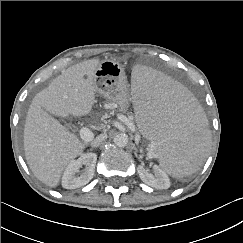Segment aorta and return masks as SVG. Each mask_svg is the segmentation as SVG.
Segmentation results:
<instances>
[{
	"mask_svg": "<svg viewBox=\"0 0 243 243\" xmlns=\"http://www.w3.org/2000/svg\"><path fill=\"white\" fill-rule=\"evenodd\" d=\"M129 137L126 133H117L114 138L113 142L118 147H125L128 144Z\"/></svg>",
	"mask_w": 243,
	"mask_h": 243,
	"instance_id": "762f6f07",
	"label": "aorta"
}]
</instances>
